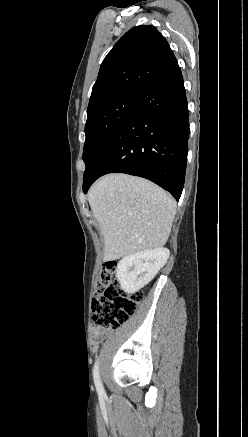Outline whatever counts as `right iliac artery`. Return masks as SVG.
I'll return each mask as SVG.
<instances>
[{
    "label": "right iliac artery",
    "mask_w": 248,
    "mask_h": 437,
    "mask_svg": "<svg viewBox=\"0 0 248 437\" xmlns=\"http://www.w3.org/2000/svg\"><path fill=\"white\" fill-rule=\"evenodd\" d=\"M93 377H94V383L96 386V390L100 396L104 395V389L100 380L99 375V367H98V360H96L94 368H93Z\"/></svg>",
    "instance_id": "1"
}]
</instances>
